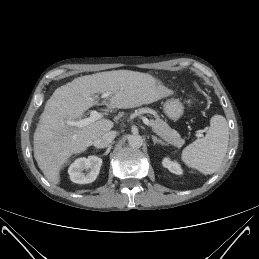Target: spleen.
<instances>
[{
  "instance_id": "3e777b00",
  "label": "spleen",
  "mask_w": 259,
  "mask_h": 259,
  "mask_svg": "<svg viewBox=\"0 0 259 259\" xmlns=\"http://www.w3.org/2000/svg\"><path fill=\"white\" fill-rule=\"evenodd\" d=\"M229 141L228 123L224 116L214 115L203 138L195 140L185 147L181 160L190 168L205 175L218 170L227 152Z\"/></svg>"
}]
</instances>
